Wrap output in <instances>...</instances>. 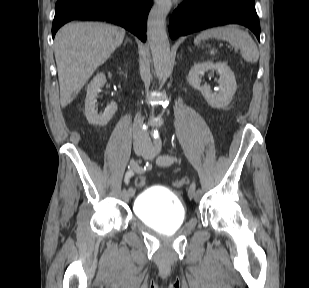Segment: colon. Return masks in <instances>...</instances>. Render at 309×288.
Returning a JSON list of instances; mask_svg holds the SVG:
<instances>
[{
  "instance_id": "colon-1",
  "label": "colon",
  "mask_w": 309,
  "mask_h": 288,
  "mask_svg": "<svg viewBox=\"0 0 309 288\" xmlns=\"http://www.w3.org/2000/svg\"><path fill=\"white\" fill-rule=\"evenodd\" d=\"M190 183L189 179L187 178H181L174 181L175 186H183L188 185ZM146 184V179L144 177H138L135 180V185L137 187H143Z\"/></svg>"
}]
</instances>
